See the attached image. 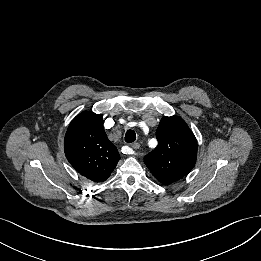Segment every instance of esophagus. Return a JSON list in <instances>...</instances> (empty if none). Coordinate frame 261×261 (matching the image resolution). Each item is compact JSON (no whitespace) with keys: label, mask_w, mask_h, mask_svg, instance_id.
Returning <instances> with one entry per match:
<instances>
[{"label":"esophagus","mask_w":261,"mask_h":261,"mask_svg":"<svg viewBox=\"0 0 261 261\" xmlns=\"http://www.w3.org/2000/svg\"><path fill=\"white\" fill-rule=\"evenodd\" d=\"M131 147H132L133 149H139V148H140V144H139L138 142H135V143H132V144H131ZM132 154L136 155L135 153H132Z\"/></svg>","instance_id":"34e87169"}]
</instances>
